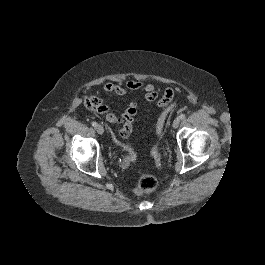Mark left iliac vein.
I'll list each match as a JSON object with an SVG mask.
<instances>
[{"mask_svg": "<svg viewBox=\"0 0 265 265\" xmlns=\"http://www.w3.org/2000/svg\"><path fill=\"white\" fill-rule=\"evenodd\" d=\"M179 123H180V119H179V118H176V119L173 121V123H172V127H173L174 129L178 128Z\"/></svg>", "mask_w": 265, "mask_h": 265, "instance_id": "left-iliac-vein-1", "label": "left iliac vein"}]
</instances>
